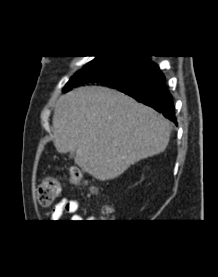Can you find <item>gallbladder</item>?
<instances>
[{"instance_id": "1", "label": "gallbladder", "mask_w": 218, "mask_h": 277, "mask_svg": "<svg viewBox=\"0 0 218 277\" xmlns=\"http://www.w3.org/2000/svg\"><path fill=\"white\" fill-rule=\"evenodd\" d=\"M75 156V152H70L69 157L73 158Z\"/></svg>"}]
</instances>
